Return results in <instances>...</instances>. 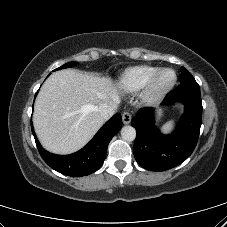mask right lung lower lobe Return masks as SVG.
Returning a JSON list of instances; mask_svg holds the SVG:
<instances>
[{"mask_svg":"<svg viewBox=\"0 0 227 227\" xmlns=\"http://www.w3.org/2000/svg\"><path fill=\"white\" fill-rule=\"evenodd\" d=\"M121 126L122 118L117 113L101 127L84 148L70 155H56L43 149L31 124L32 133L43 160L57 172L72 177L89 175L101 167L106 157L108 144Z\"/></svg>","mask_w":227,"mask_h":227,"instance_id":"1","label":"right lung lower lobe"}]
</instances>
